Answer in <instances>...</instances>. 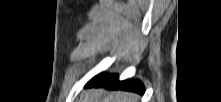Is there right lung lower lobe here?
I'll return each mask as SVG.
<instances>
[{
    "mask_svg": "<svg viewBox=\"0 0 221 102\" xmlns=\"http://www.w3.org/2000/svg\"><path fill=\"white\" fill-rule=\"evenodd\" d=\"M85 87H114L116 89L129 90L137 93H144V86L139 80L118 81L116 74H99L92 78Z\"/></svg>",
    "mask_w": 221,
    "mask_h": 102,
    "instance_id": "obj_1",
    "label": "right lung lower lobe"
}]
</instances>
